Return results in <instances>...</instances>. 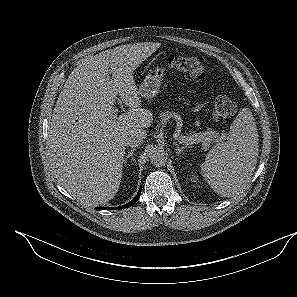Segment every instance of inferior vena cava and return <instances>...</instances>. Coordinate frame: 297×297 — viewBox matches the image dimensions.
<instances>
[{"instance_id":"obj_1","label":"inferior vena cava","mask_w":297,"mask_h":297,"mask_svg":"<svg viewBox=\"0 0 297 297\" xmlns=\"http://www.w3.org/2000/svg\"><path fill=\"white\" fill-rule=\"evenodd\" d=\"M144 135L141 132H133L125 137L124 144L127 147H137L143 143Z\"/></svg>"}]
</instances>
